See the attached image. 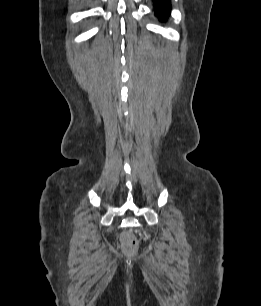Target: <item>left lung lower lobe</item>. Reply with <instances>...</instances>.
<instances>
[{"instance_id": "0a47b994", "label": "left lung lower lobe", "mask_w": 261, "mask_h": 306, "mask_svg": "<svg viewBox=\"0 0 261 306\" xmlns=\"http://www.w3.org/2000/svg\"><path fill=\"white\" fill-rule=\"evenodd\" d=\"M155 13L161 21L165 20L170 13V0H153Z\"/></svg>"}]
</instances>
